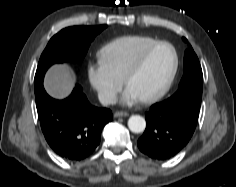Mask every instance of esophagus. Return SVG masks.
<instances>
[{
    "mask_svg": "<svg viewBox=\"0 0 236 187\" xmlns=\"http://www.w3.org/2000/svg\"><path fill=\"white\" fill-rule=\"evenodd\" d=\"M129 114L124 111H117L114 113V117H127Z\"/></svg>",
    "mask_w": 236,
    "mask_h": 187,
    "instance_id": "34e87169",
    "label": "esophagus"
}]
</instances>
